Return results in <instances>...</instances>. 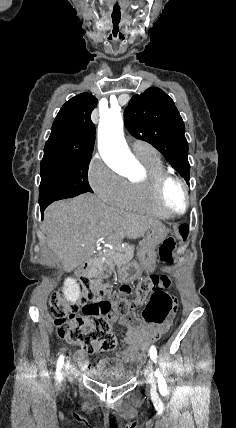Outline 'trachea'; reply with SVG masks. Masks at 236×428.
<instances>
[{
  "label": "trachea",
  "mask_w": 236,
  "mask_h": 428,
  "mask_svg": "<svg viewBox=\"0 0 236 428\" xmlns=\"http://www.w3.org/2000/svg\"><path fill=\"white\" fill-rule=\"evenodd\" d=\"M111 23L109 24V29L112 31L114 36H119L121 34L120 26L122 24V15L120 13H113L111 15Z\"/></svg>",
  "instance_id": "obj_1"
}]
</instances>
